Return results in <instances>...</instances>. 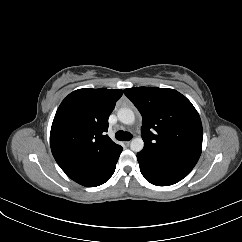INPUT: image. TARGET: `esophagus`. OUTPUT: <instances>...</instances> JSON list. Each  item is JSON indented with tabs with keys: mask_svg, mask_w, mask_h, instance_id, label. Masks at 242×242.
<instances>
[{
	"mask_svg": "<svg viewBox=\"0 0 242 242\" xmlns=\"http://www.w3.org/2000/svg\"><path fill=\"white\" fill-rule=\"evenodd\" d=\"M130 141H126V142H124V144L127 146V147H129V145H130Z\"/></svg>",
	"mask_w": 242,
	"mask_h": 242,
	"instance_id": "34e87169",
	"label": "esophagus"
}]
</instances>
